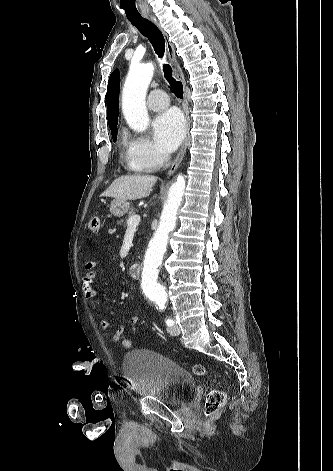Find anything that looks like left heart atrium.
<instances>
[{"mask_svg":"<svg viewBox=\"0 0 333 471\" xmlns=\"http://www.w3.org/2000/svg\"><path fill=\"white\" fill-rule=\"evenodd\" d=\"M185 120L176 109L165 111L153 122V132L157 145L165 152L174 151L185 135Z\"/></svg>","mask_w":333,"mask_h":471,"instance_id":"left-heart-atrium-1","label":"left heart atrium"}]
</instances>
